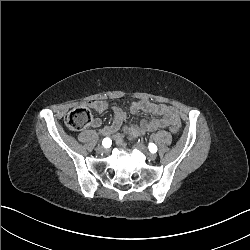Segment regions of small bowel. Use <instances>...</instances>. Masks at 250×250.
Masks as SVG:
<instances>
[{
	"instance_id": "c3829d8e",
	"label": "small bowel",
	"mask_w": 250,
	"mask_h": 250,
	"mask_svg": "<svg viewBox=\"0 0 250 250\" xmlns=\"http://www.w3.org/2000/svg\"><path fill=\"white\" fill-rule=\"evenodd\" d=\"M87 106L97 113L104 112L108 109V104L104 101H90L87 103ZM113 112L112 123L108 126L102 127V121L99 118L92 120L91 127L100 128L99 133L101 136H112L118 146L124 145V135L120 132V129L124 126L125 123V113L124 111L117 106L111 108ZM130 111L133 114H136L139 111L149 113L152 115H157V118L154 119H143L140 125H127L124 127L125 133L130 138H139L145 132H153L158 129L167 128L168 124L175 123L178 128L181 125L180 115L178 111L167 104L152 103L148 101H139L134 102L130 106Z\"/></svg>"
}]
</instances>
